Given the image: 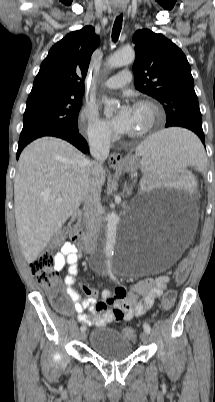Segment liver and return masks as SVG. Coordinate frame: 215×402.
<instances>
[{"label": "liver", "mask_w": 215, "mask_h": 402, "mask_svg": "<svg viewBox=\"0 0 215 402\" xmlns=\"http://www.w3.org/2000/svg\"><path fill=\"white\" fill-rule=\"evenodd\" d=\"M90 161L66 141L42 137L22 151L14 181L18 241L25 260L34 262L85 201ZM105 183V171L99 177Z\"/></svg>", "instance_id": "obj_1"}]
</instances>
